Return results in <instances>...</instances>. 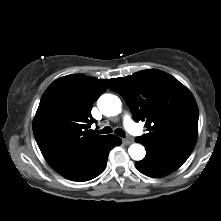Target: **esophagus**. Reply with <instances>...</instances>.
<instances>
[{
	"instance_id": "1",
	"label": "esophagus",
	"mask_w": 221,
	"mask_h": 221,
	"mask_svg": "<svg viewBox=\"0 0 221 221\" xmlns=\"http://www.w3.org/2000/svg\"><path fill=\"white\" fill-rule=\"evenodd\" d=\"M132 142H133V140L130 137H126V138L123 139L124 144H130Z\"/></svg>"
}]
</instances>
